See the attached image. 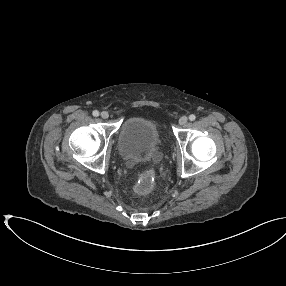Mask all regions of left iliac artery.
Listing matches in <instances>:
<instances>
[{
    "mask_svg": "<svg viewBox=\"0 0 286 286\" xmlns=\"http://www.w3.org/2000/svg\"><path fill=\"white\" fill-rule=\"evenodd\" d=\"M196 119V116L194 115V114H191L190 116H189V120L190 121H194Z\"/></svg>",
    "mask_w": 286,
    "mask_h": 286,
    "instance_id": "1",
    "label": "left iliac artery"
}]
</instances>
